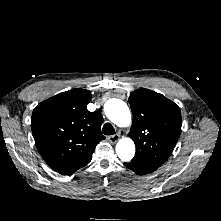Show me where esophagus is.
<instances>
[{"instance_id": "1", "label": "esophagus", "mask_w": 221, "mask_h": 221, "mask_svg": "<svg viewBox=\"0 0 221 221\" xmlns=\"http://www.w3.org/2000/svg\"><path fill=\"white\" fill-rule=\"evenodd\" d=\"M119 139H120V135H119V134H115V135L109 136V137L107 138V140H108L111 144H115Z\"/></svg>"}]
</instances>
